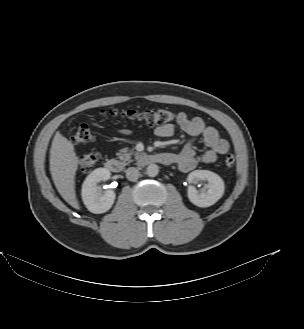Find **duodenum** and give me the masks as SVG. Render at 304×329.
I'll return each mask as SVG.
<instances>
[{"instance_id": "obj_1", "label": "duodenum", "mask_w": 304, "mask_h": 329, "mask_svg": "<svg viewBox=\"0 0 304 329\" xmlns=\"http://www.w3.org/2000/svg\"><path fill=\"white\" fill-rule=\"evenodd\" d=\"M138 163L140 165L154 164V163L170 165L173 163V157L166 153H152V154L141 156L138 159ZM105 167L112 173H120L123 170L124 165L120 160L116 158H109L105 162Z\"/></svg>"}]
</instances>
